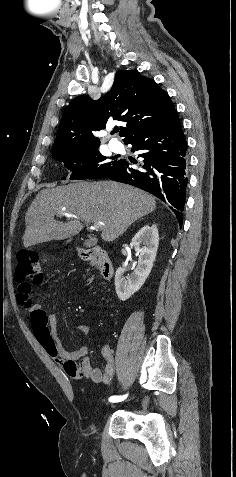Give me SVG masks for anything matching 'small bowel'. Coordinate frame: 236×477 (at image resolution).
<instances>
[{
    "instance_id": "c3829d8e",
    "label": "small bowel",
    "mask_w": 236,
    "mask_h": 477,
    "mask_svg": "<svg viewBox=\"0 0 236 477\" xmlns=\"http://www.w3.org/2000/svg\"><path fill=\"white\" fill-rule=\"evenodd\" d=\"M30 316L32 332L46 351L60 368L73 379L88 378L95 383L108 384L111 382L115 366L112 349L105 345L102 349V356L106 362L104 371L94 368L87 357L88 347L78 346L68 349L62 345L57 334V319L54 313L47 312L39 303L29 302L26 306ZM77 332L84 336L90 335L88 325L76 326Z\"/></svg>"
}]
</instances>
